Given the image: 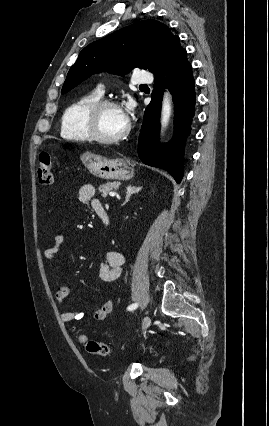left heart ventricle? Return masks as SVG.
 I'll list each match as a JSON object with an SVG mask.
<instances>
[{
	"label": "left heart ventricle",
	"instance_id": "1",
	"mask_svg": "<svg viewBox=\"0 0 269 426\" xmlns=\"http://www.w3.org/2000/svg\"><path fill=\"white\" fill-rule=\"evenodd\" d=\"M127 122L124 120L122 110L116 107L104 108L98 118V131L106 138H113L120 135L126 128Z\"/></svg>",
	"mask_w": 269,
	"mask_h": 426
}]
</instances>
